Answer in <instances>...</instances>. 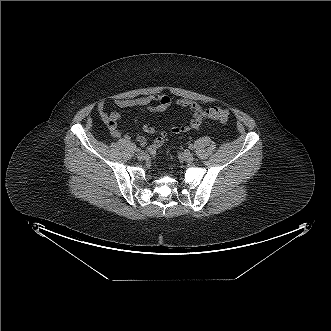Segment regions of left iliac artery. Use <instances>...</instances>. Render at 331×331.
<instances>
[{
  "instance_id": "44dca946",
  "label": "left iliac artery",
  "mask_w": 331,
  "mask_h": 331,
  "mask_svg": "<svg viewBox=\"0 0 331 331\" xmlns=\"http://www.w3.org/2000/svg\"><path fill=\"white\" fill-rule=\"evenodd\" d=\"M189 148H190L191 150H193V149H194V146L191 144V145H189Z\"/></svg>"
}]
</instances>
